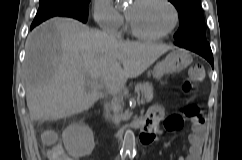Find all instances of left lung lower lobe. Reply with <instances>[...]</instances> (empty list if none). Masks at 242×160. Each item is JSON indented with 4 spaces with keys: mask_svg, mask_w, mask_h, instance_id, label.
Instances as JSON below:
<instances>
[{
    "mask_svg": "<svg viewBox=\"0 0 242 160\" xmlns=\"http://www.w3.org/2000/svg\"><path fill=\"white\" fill-rule=\"evenodd\" d=\"M175 44L201 55L208 60L213 67V55L206 39H193L186 42H177Z\"/></svg>",
    "mask_w": 242,
    "mask_h": 160,
    "instance_id": "left-lung-lower-lobe-1",
    "label": "left lung lower lobe"
}]
</instances>
